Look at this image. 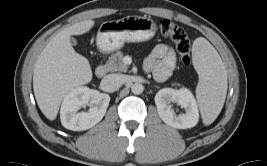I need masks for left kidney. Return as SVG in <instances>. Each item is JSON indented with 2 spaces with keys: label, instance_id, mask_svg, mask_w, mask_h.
Returning a JSON list of instances; mask_svg holds the SVG:
<instances>
[{
  "label": "left kidney",
  "instance_id": "5707ae66",
  "mask_svg": "<svg viewBox=\"0 0 267 166\" xmlns=\"http://www.w3.org/2000/svg\"><path fill=\"white\" fill-rule=\"evenodd\" d=\"M154 99L158 114L167 125L177 129H187L198 123V107L190 90L163 88L157 92ZM172 103H177L184 108L185 113L176 115Z\"/></svg>",
  "mask_w": 267,
  "mask_h": 166
}]
</instances>
